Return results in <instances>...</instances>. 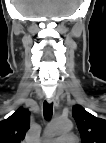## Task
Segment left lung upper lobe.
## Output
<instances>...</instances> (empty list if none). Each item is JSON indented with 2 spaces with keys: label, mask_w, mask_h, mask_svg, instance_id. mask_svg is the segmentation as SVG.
<instances>
[{
  "label": "left lung upper lobe",
  "mask_w": 106,
  "mask_h": 143,
  "mask_svg": "<svg viewBox=\"0 0 106 143\" xmlns=\"http://www.w3.org/2000/svg\"><path fill=\"white\" fill-rule=\"evenodd\" d=\"M72 116L82 143H106V120L93 116L80 105L73 107Z\"/></svg>",
  "instance_id": "left-lung-upper-lobe-1"
}]
</instances>
